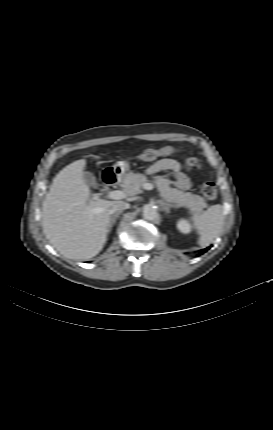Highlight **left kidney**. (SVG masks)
<instances>
[{
	"instance_id": "5707ae66",
	"label": "left kidney",
	"mask_w": 273,
	"mask_h": 430,
	"mask_svg": "<svg viewBox=\"0 0 273 430\" xmlns=\"http://www.w3.org/2000/svg\"><path fill=\"white\" fill-rule=\"evenodd\" d=\"M177 227H178L179 231L184 233V234H188L191 232V226L185 220H180L177 224Z\"/></svg>"
}]
</instances>
